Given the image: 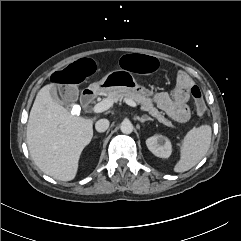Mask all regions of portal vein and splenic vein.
<instances>
[{
    "label": "portal vein and splenic vein",
    "instance_id": "obj_1",
    "mask_svg": "<svg viewBox=\"0 0 241 241\" xmlns=\"http://www.w3.org/2000/svg\"><path fill=\"white\" fill-rule=\"evenodd\" d=\"M125 102L132 106V107H137V103L132 101V100H129V99H125ZM113 101L110 100V99H105L99 103H97L94 107H93V112L94 113H101V112H104L106 110H108L109 108H111L113 106Z\"/></svg>",
    "mask_w": 241,
    "mask_h": 241
}]
</instances>
